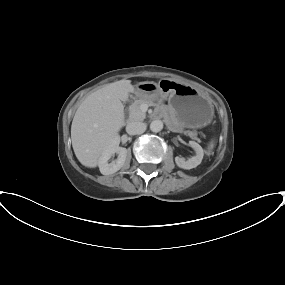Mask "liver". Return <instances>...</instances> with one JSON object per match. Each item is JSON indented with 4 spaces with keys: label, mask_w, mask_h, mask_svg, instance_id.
Segmentation results:
<instances>
[{
    "label": "liver",
    "mask_w": 285,
    "mask_h": 285,
    "mask_svg": "<svg viewBox=\"0 0 285 285\" xmlns=\"http://www.w3.org/2000/svg\"><path fill=\"white\" fill-rule=\"evenodd\" d=\"M135 90L130 80L105 85L91 93L78 107L71 125V140L79 162L89 168L98 165L103 150L118 138L124 125V106Z\"/></svg>",
    "instance_id": "obj_1"
}]
</instances>
